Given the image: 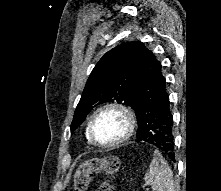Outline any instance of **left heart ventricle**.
Here are the masks:
<instances>
[{
  "label": "left heart ventricle",
  "instance_id": "b2bd125f",
  "mask_svg": "<svg viewBox=\"0 0 221 191\" xmlns=\"http://www.w3.org/2000/svg\"><path fill=\"white\" fill-rule=\"evenodd\" d=\"M125 122L116 112L101 114L94 124V137L98 142L108 143L118 139L124 132Z\"/></svg>",
  "mask_w": 221,
  "mask_h": 191
}]
</instances>
